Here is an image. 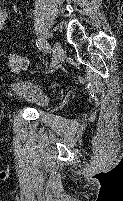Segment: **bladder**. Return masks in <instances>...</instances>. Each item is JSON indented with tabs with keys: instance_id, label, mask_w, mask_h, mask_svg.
I'll return each mask as SVG.
<instances>
[{
	"instance_id": "31cf9c89",
	"label": "bladder",
	"mask_w": 123,
	"mask_h": 201,
	"mask_svg": "<svg viewBox=\"0 0 123 201\" xmlns=\"http://www.w3.org/2000/svg\"><path fill=\"white\" fill-rule=\"evenodd\" d=\"M10 91L20 103L30 105L38 111L49 106V99L30 80H15L9 84Z\"/></svg>"
}]
</instances>
